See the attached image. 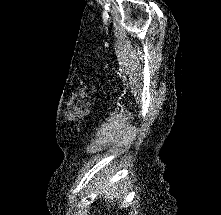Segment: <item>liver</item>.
Listing matches in <instances>:
<instances>
[{"label":"liver","instance_id":"obj_1","mask_svg":"<svg viewBox=\"0 0 221 215\" xmlns=\"http://www.w3.org/2000/svg\"><path fill=\"white\" fill-rule=\"evenodd\" d=\"M107 183H108V178L104 179L103 181L98 183V187H103L104 197H105V199L108 202V205L110 207V204L113 205V202L120 197V193H119V190H118V187H117L116 183L110 184L107 187H104V185L107 184Z\"/></svg>","mask_w":221,"mask_h":215}]
</instances>
